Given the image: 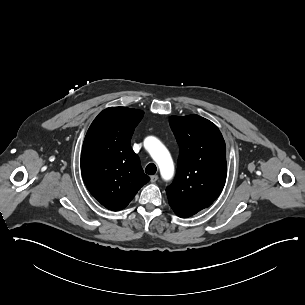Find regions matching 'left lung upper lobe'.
I'll return each instance as SVG.
<instances>
[{
	"instance_id": "5c2ea615",
	"label": "left lung upper lobe",
	"mask_w": 305,
	"mask_h": 305,
	"mask_svg": "<svg viewBox=\"0 0 305 305\" xmlns=\"http://www.w3.org/2000/svg\"><path fill=\"white\" fill-rule=\"evenodd\" d=\"M171 129L179 144L178 168L166 188L169 204L180 217L209 207L226 181V145L218 127L198 116H171Z\"/></svg>"
}]
</instances>
